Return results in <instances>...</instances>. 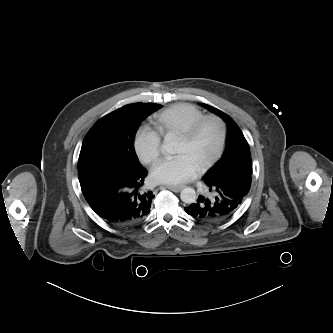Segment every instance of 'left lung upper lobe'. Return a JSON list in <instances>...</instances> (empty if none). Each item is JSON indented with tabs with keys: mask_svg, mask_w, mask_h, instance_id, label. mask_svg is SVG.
Segmentation results:
<instances>
[{
	"mask_svg": "<svg viewBox=\"0 0 333 333\" xmlns=\"http://www.w3.org/2000/svg\"><path fill=\"white\" fill-rule=\"evenodd\" d=\"M201 106L222 117L229 128V142L227 149L221 159L207 171L205 176L214 180H221L231 175L251 177L252 161L250 149L240 128L222 111L203 103Z\"/></svg>",
	"mask_w": 333,
	"mask_h": 333,
	"instance_id": "1",
	"label": "left lung upper lobe"
}]
</instances>
